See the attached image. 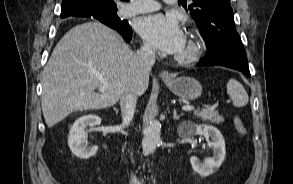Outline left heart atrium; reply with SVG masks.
Listing matches in <instances>:
<instances>
[{"instance_id": "left-heart-atrium-1", "label": "left heart atrium", "mask_w": 293, "mask_h": 184, "mask_svg": "<svg viewBox=\"0 0 293 184\" xmlns=\"http://www.w3.org/2000/svg\"><path fill=\"white\" fill-rule=\"evenodd\" d=\"M137 30L154 48L168 54H176L185 39L178 21L174 17L163 14L141 18L137 24Z\"/></svg>"}]
</instances>
